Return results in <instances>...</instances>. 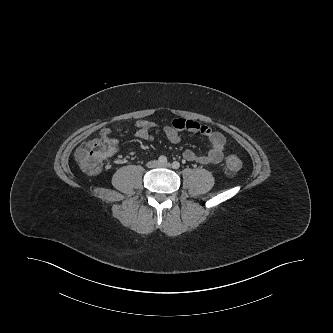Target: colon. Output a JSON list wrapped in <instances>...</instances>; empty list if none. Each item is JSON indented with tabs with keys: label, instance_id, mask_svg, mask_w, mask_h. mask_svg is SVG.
I'll use <instances>...</instances> for the list:
<instances>
[{
	"label": "colon",
	"instance_id": "1",
	"mask_svg": "<svg viewBox=\"0 0 333 333\" xmlns=\"http://www.w3.org/2000/svg\"><path fill=\"white\" fill-rule=\"evenodd\" d=\"M111 153V148L105 140L93 139L82 144L75 152L78 165L87 173L95 174L100 171L105 158ZM241 169V160L230 155L226 159V170L229 174H236Z\"/></svg>",
	"mask_w": 333,
	"mask_h": 333
}]
</instances>
